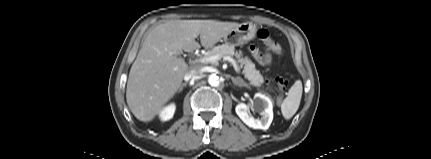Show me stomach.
<instances>
[{
  "instance_id": "stomach-1",
  "label": "stomach",
  "mask_w": 431,
  "mask_h": 159,
  "mask_svg": "<svg viewBox=\"0 0 431 159\" xmlns=\"http://www.w3.org/2000/svg\"><path fill=\"white\" fill-rule=\"evenodd\" d=\"M257 32V26L251 22L239 24L223 37L226 45L239 46L253 39Z\"/></svg>"
}]
</instances>
